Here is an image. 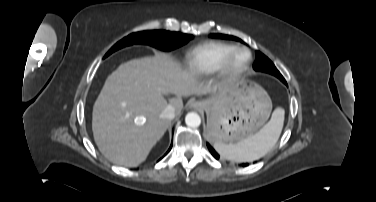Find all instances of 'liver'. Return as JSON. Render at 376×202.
<instances>
[{
    "instance_id": "liver-1",
    "label": "liver",
    "mask_w": 376,
    "mask_h": 202,
    "mask_svg": "<svg viewBox=\"0 0 376 202\" xmlns=\"http://www.w3.org/2000/svg\"><path fill=\"white\" fill-rule=\"evenodd\" d=\"M203 83L169 54L133 59L121 64L106 79L93 107L92 130L100 152L111 162L136 167L163 137L171 120L160 117L172 105L183 109L182 96L206 95ZM173 94L167 101L164 95Z\"/></svg>"
}]
</instances>
